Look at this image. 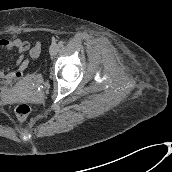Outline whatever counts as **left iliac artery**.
<instances>
[{
	"label": "left iliac artery",
	"instance_id": "left-iliac-artery-1",
	"mask_svg": "<svg viewBox=\"0 0 172 172\" xmlns=\"http://www.w3.org/2000/svg\"><path fill=\"white\" fill-rule=\"evenodd\" d=\"M58 44H59L60 47H62L64 45V42L60 41Z\"/></svg>",
	"mask_w": 172,
	"mask_h": 172
}]
</instances>
